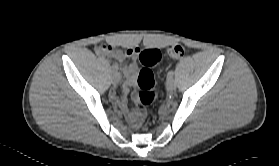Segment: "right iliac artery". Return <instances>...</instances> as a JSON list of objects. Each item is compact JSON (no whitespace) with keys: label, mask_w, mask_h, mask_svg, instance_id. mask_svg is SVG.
Segmentation results:
<instances>
[{"label":"right iliac artery","mask_w":279,"mask_h":166,"mask_svg":"<svg viewBox=\"0 0 279 166\" xmlns=\"http://www.w3.org/2000/svg\"><path fill=\"white\" fill-rule=\"evenodd\" d=\"M112 69H113L114 72H117L118 71V66L116 64H113Z\"/></svg>","instance_id":"1"}]
</instances>
